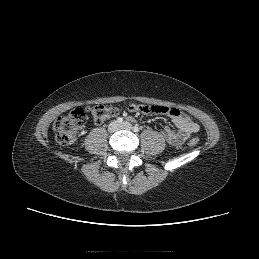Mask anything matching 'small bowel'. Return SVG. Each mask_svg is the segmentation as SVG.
Listing matches in <instances>:
<instances>
[{
	"instance_id": "1",
	"label": "small bowel",
	"mask_w": 259,
	"mask_h": 259,
	"mask_svg": "<svg viewBox=\"0 0 259 259\" xmlns=\"http://www.w3.org/2000/svg\"><path fill=\"white\" fill-rule=\"evenodd\" d=\"M127 108L130 111L143 115L166 114L170 116L174 128L166 127L162 134L172 145L184 143L191 135L200 130V126L187 114L174 107L144 105L143 103L130 102Z\"/></svg>"
}]
</instances>
